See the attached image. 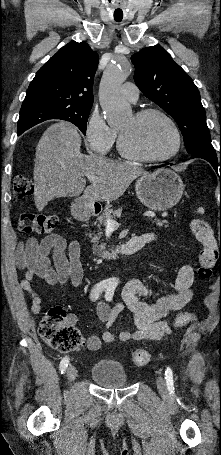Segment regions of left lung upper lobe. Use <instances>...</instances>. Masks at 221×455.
Returning <instances> with one entry per match:
<instances>
[{"mask_svg":"<svg viewBox=\"0 0 221 455\" xmlns=\"http://www.w3.org/2000/svg\"><path fill=\"white\" fill-rule=\"evenodd\" d=\"M134 80L142 93L177 122L186 150L215 151L206 124L200 93L192 79L160 46H151L131 56Z\"/></svg>","mask_w":221,"mask_h":455,"instance_id":"1","label":"left lung upper lobe"}]
</instances>
